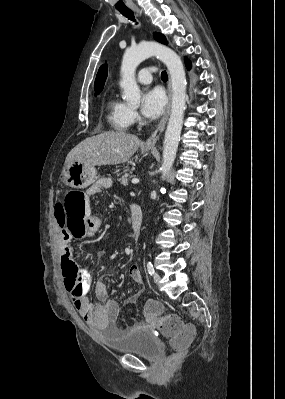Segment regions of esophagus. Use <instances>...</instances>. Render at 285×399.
Wrapping results in <instances>:
<instances>
[{
    "instance_id": "1",
    "label": "esophagus",
    "mask_w": 285,
    "mask_h": 399,
    "mask_svg": "<svg viewBox=\"0 0 285 399\" xmlns=\"http://www.w3.org/2000/svg\"><path fill=\"white\" fill-rule=\"evenodd\" d=\"M133 9H134L139 15H141V11H140L137 7H134ZM167 93H168L169 102H168V105H167V108H166V112H165V114H164L162 120L160 121V123H159L157 129H156V130L154 131V133L148 138V140L144 143V148H151V147H153V146L155 145V143L157 142V140L159 139V137H160V135L162 134V132L164 131L166 122H167L168 117H169L170 106H171V99H172L171 81H170V78H169V81H168V90H167Z\"/></svg>"
}]
</instances>
